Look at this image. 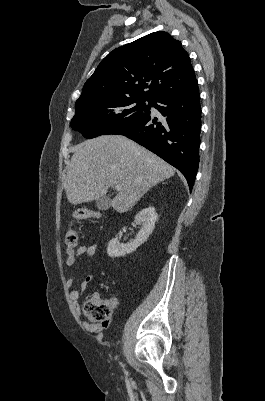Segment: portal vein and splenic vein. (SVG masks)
Instances as JSON below:
<instances>
[{
	"label": "portal vein and splenic vein",
	"instance_id": "18ae733b",
	"mask_svg": "<svg viewBox=\"0 0 265 401\" xmlns=\"http://www.w3.org/2000/svg\"><path fill=\"white\" fill-rule=\"evenodd\" d=\"M115 188L116 190H121L122 186H120V184H116Z\"/></svg>",
	"mask_w": 265,
	"mask_h": 401
}]
</instances>
